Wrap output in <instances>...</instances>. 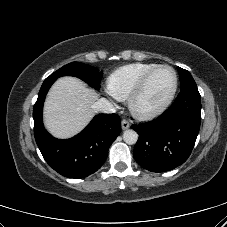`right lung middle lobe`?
<instances>
[{"label": "right lung middle lobe", "instance_id": "right-lung-middle-lobe-1", "mask_svg": "<svg viewBox=\"0 0 227 227\" xmlns=\"http://www.w3.org/2000/svg\"><path fill=\"white\" fill-rule=\"evenodd\" d=\"M102 75L103 72H99L95 67L84 63L72 62L58 69L48 78H46V80H56L57 78L62 76H74L80 78L81 80L92 86L94 89L98 90L100 88Z\"/></svg>", "mask_w": 227, "mask_h": 227}]
</instances>
